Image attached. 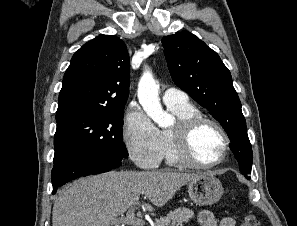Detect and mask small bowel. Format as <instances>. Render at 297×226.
I'll use <instances>...</instances> for the list:
<instances>
[{
	"label": "small bowel",
	"instance_id": "obj_1",
	"mask_svg": "<svg viewBox=\"0 0 297 226\" xmlns=\"http://www.w3.org/2000/svg\"><path fill=\"white\" fill-rule=\"evenodd\" d=\"M197 222L200 226H235V221L231 217H223L219 221L207 210L199 212Z\"/></svg>",
	"mask_w": 297,
	"mask_h": 226
}]
</instances>
